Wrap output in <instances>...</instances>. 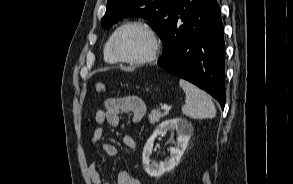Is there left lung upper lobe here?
Here are the masks:
<instances>
[{"label": "left lung upper lobe", "instance_id": "5c2ea615", "mask_svg": "<svg viewBox=\"0 0 293 184\" xmlns=\"http://www.w3.org/2000/svg\"><path fill=\"white\" fill-rule=\"evenodd\" d=\"M179 0H108L107 10L101 20L105 29L126 17H143L165 41L171 21L172 10Z\"/></svg>", "mask_w": 293, "mask_h": 184}]
</instances>
